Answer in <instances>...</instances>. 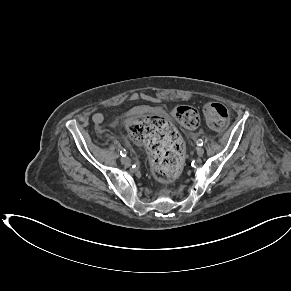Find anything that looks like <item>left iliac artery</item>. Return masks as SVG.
Masks as SVG:
<instances>
[{
	"instance_id": "left-iliac-artery-1",
	"label": "left iliac artery",
	"mask_w": 291,
	"mask_h": 291,
	"mask_svg": "<svg viewBox=\"0 0 291 291\" xmlns=\"http://www.w3.org/2000/svg\"><path fill=\"white\" fill-rule=\"evenodd\" d=\"M197 145H198V146H202V145H203V140L199 139V140L197 141Z\"/></svg>"
}]
</instances>
